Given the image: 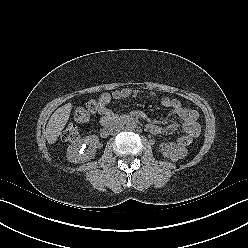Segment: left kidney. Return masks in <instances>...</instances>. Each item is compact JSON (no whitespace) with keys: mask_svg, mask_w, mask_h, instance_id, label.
<instances>
[{"mask_svg":"<svg viewBox=\"0 0 248 248\" xmlns=\"http://www.w3.org/2000/svg\"><path fill=\"white\" fill-rule=\"evenodd\" d=\"M160 150L164 157L169 158L172 161H177L179 159H182L188 153V150L185 147L178 146L173 142L162 143L160 145Z\"/></svg>","mask_w":248,"mask_h":248,"instance_id":"obj_1","label":"left kidney"}]
</instances>
